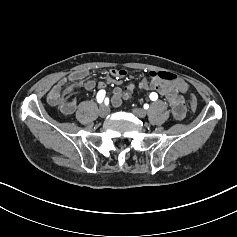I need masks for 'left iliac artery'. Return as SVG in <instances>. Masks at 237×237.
I'll use <instances>...</instances> for the list:
<instances>
[{
    "instance_id": "1",
    "label": "left iliac artery",
    "mask_w": 237,
    "mask_h": 237,
    "mask_svg": "<svg viewBox=\"0 0 237 237\" xmlns=\"http://www.w3.org/2000/svg\"><path fill=\"white\" fill-rule=\"evenodd\" d=\"M149 97H150V99H151L152 101H156L157 98H158V95H157V93L152 92ZM148 108H149V105H148V104H145V105H144V109H148Z\"/></svg>"
}]
</instances>
